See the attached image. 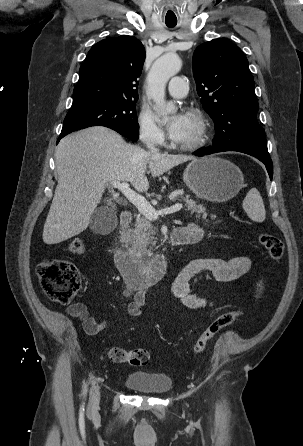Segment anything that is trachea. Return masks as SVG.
<instances>
[{
    "instance_id": "obj_1",
    "label": "trachea",
    "mask_w": 303,
    "mask_h": 446,
    "mask_svg": "<svg viewBox=\"0 0 303 446\" xmlns=\"http://www.w3.org/2000/svg\"><path fill=\"white\" fill-rule=\"evenodd\" d=\"M166 25H167L169 28H172V27H175V26H176V23H166Z\"/></svg>"
}]
</instances>
